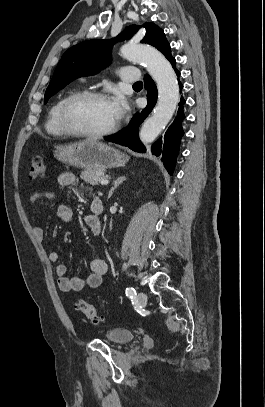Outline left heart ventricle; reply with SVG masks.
I'll use <instances>...</instances> for the list:
<instances>
[{"label":"left heart ventricle","instance_id":"b2bd125f","mask_svg":"<svg viewBox=\"0 0 265 407\" xmlns=\"http://www.w3.org/2000/svg\"><path fill=\"white\" fill-rule=\"evenodd\" d=\"M75 124L86 131L98 132L111 127L117 120L109 100H89L75 106L72 112Z\"/></svg>","mask_w":265,"mask_h":407}]
</instances>
